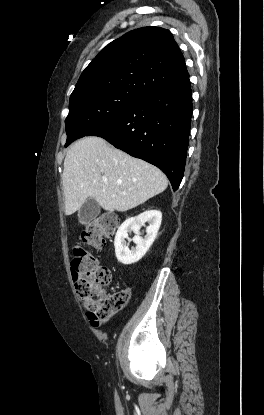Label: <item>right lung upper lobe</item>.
Returning a JSON list of instances; mask_svg holds the SVG:
<instances>
[{"instance_id":"obj_1","label":"right lung upper lobe","mask_w":264,"mask_h":415,"mask_svg":"<svg viewBox=\"0 0 264 415\" xmlns=\"http://www.w3.org/2000/svg\"><path fill=\"white\" fill-rule=\"evenodd\" d=\"M188 77L185 59L171 32L142 27L103 48L82 72L70 99L111 91L144 97Z\"/></svg>"}]
</instances>
